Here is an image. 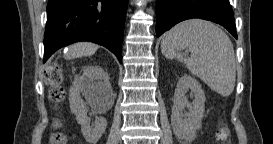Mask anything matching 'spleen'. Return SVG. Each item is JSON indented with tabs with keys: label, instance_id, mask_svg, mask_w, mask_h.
<instances>
[{
	"label": "spleen",
	"instance_id": "obj_1",
	"mask_svg": "<svg viewBox=\"0 0 273 144\" xmlns=\"http://www.w3.org/2000/svg\"><path fill=\"white\" fill-rule=\"evenodd\" d=\"M183 49H189L190 58L177 52ZM161 51L166 58L185 63L193 75L223 97L233 92L236 80L233 45L215 24L201 19L183 21L164 34Z\"/></svg>",
	"mask_w": 273,
	"mask_h": 144
}]
</instances>
